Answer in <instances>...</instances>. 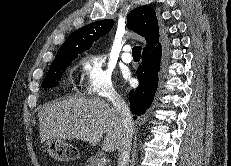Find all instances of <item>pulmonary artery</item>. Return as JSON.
Segmentation results:
<instances>
[{
    "mask_svg": "<svg viewBox=\"0 0 231 166\" xmlns=\"http://www.w3.org/2000/svg\"><path fill=\"white\" fill-rule=\"evenodd\" d=\"M130 52H131V46L125 45L123 48V53L121 55V59L124 63H131L132 62V56H131Z\"/></svg>",
    "mask_w": 231,
    "mask_h": 166,
    "instance_id": "1",
    "label": "pulmonary artery"
}]
</instances>
